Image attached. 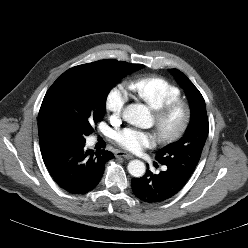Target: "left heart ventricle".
Returning <instances> with one entry per match:
<instances>
[{
    "label": "left heart ventricle",
    "instance_id": "1",
    "mask_svg": "<svg viewBox=\"0 0 248 248\" xmlns=\"http://www.w3.org/2000/svg\"><path fill=\"white\" fill-rule=\"evenodd\" d=\"M181 121H182V111L178 110L173 115H171L169 119L166 121V123L163 126L164 131L172 132L174 129L178 127Z\"/></svg>",
    "mask_w": 248,
    "mask_h": 248
}]
</instances>
